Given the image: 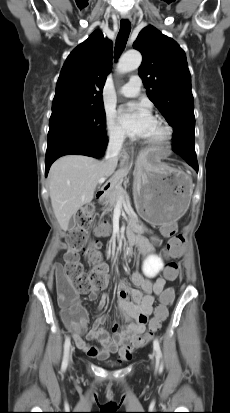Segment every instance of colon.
Returning a JSON list of instances; mask_svg holds the SVG:
<instances>
[{
	"instance_id": "1",
	"label": "colon",
	"mask_w": 230,
	"mask_h": 413,
	"mask_svg": "<svg viewBox=\"0 0 230 413\" xmlns=\"http://www.w3.org/2000/svg\"><path fill=\"white\" fill-rule=\"evenodd\" d=\"M94 214L95 208L90 204L85 205L79 211L77 225L66 239L68 251L64 258V264L55 267L58 300L65 311L72 310L77 314H79V310L75 306L76 294L85 293L92 288H100L105 281L106 269L101 261L99 245L96 242H89L87 236V230L92 224ZM186 245L187 242L184 241L182 235L173 236L168 242L170 260L167 262L166 268L162 270V275L167 277L169 281H174L178 277L179 264L175 259L180 256L182 246ZM82 251H84L87 264L91 268L89 272L85 271L80 261ZM173 298L174 291L172 290H166L161 294L160 304L156 307L154 316L150 320L147 335L125 346L126 359L131 356L135 348L145 344L159 330L161 323L168 315L167 307L173 302Z\"/></svg>"
}]
</instances>
